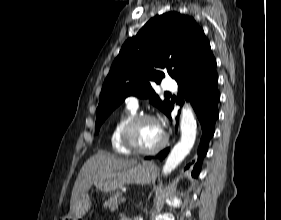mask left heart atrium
<instances>
[{"mask_svg":"<svg viewBox=\"0 0 281 220\" xmlns=\"http://www.w3.org/2000/svg\"><path fill=\"white\" fill-rule=\"evenodd\" d=\"M159 125V127H160V130L162 131V133H163V127L160 125V124H158Z\"/></svg>","mask_w":281,"mask_h":220,"instance_id":"obj_1","label":"left heart atrium"}]
</instances>
